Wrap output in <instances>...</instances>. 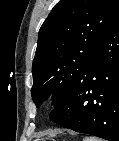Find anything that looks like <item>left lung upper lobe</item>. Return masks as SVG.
Returning <instances> with one entry per match:
<instances>
[{
	"instance_id": "5c2ea615",
	"label": "left lung upper lobe",
	"mask_w": 119,
	"mask_h": 141,
	"mask_svg": "<svg viewBox=\"0 0 119 141\" xmlns=\"http://www.w3.org/2000/svg\"><path fill=\"white\" fill-rule=\"evenodd\" d=\"M119 13V0H61L39 30L33 60L32 98L52 95L57 106L78 82L97 45Z\"/></svg>"
}]
</instances>
